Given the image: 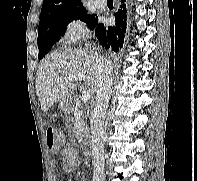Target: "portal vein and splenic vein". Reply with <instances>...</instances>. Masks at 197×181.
<instances>
[{
    "instance_id": "18ae733b",
    "label": "portal vein and splenic vein",
    "mask_w": 197,
    "mask_h": 181,
    "mask_svg": "<svg viewBox=\"0 0 197 181\" xmlns=\"http://www.w3.org/2000/svg\"><path fill=\"white\" fill-rule=\"evenodd\" d=\"M85 77L86 76L84 74H74V75H69L66 78H61V77L57 78V81L58 82H61V81H64V80H67V81H81V80L85 79ZM90 97H91L90 96V91L84 90L83 93H82V97H81L82 101L84 103H86V102L89 101Z\"/></svg>"
}]
</instances>
